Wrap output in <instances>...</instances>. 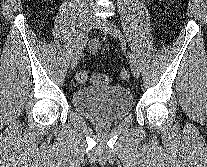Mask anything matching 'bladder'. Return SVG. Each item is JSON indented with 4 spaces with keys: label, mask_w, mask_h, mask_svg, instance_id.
I'll use <instances>...</instances> for the list:
<instances>
[{
    "label": "bladder",
    "mask_w": 207,
    "mask_h": 167,
    "mask_svg": "<svg viewBox=\"0 0 207 167\" xmlns=\"http://www.w3.org/2000/svg\"><path fill=\"white\" fill-rule=\"evenodd\" d=\"M72 102L78 112L92 120L116 121L131 111L133 97L123 86H89L77 89Z\"/></svg>",
    "instance_id": "obj_1"
}]
</instances>
